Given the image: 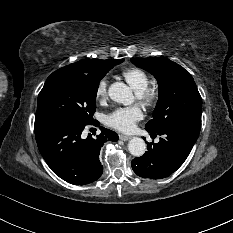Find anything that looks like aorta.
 Wrapping results in <instances>:
<instances>
[{
  "mask_svg": "<svg viewBox=\"0 0 233 233\" xmlns=\"http://www.w3.org/2000/svg\"><path fill=\"white\" fill-rule=\"evenodd\" d=\"M108 94L113 101L123 105H131L134 102L131 89L122 82L113 83ZM128 150L133 156L141 157L146 152V143L142 138L134 137L128 143Z\"/></svg>",
  "mask_w": 233,
  "mask_h": 233,
  "instance_id": "aorta-1",
  "label": "aorta"
}]
</instances>
